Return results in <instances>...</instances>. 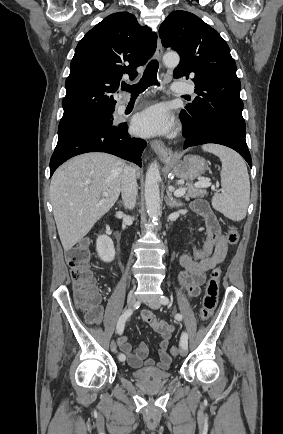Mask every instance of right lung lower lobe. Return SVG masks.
Masks as SVG:
<instances>
[{
	"label": "right lung lower lobe",
	"mask_w": 283,
	"mask_h": 434,
	"mask_svg": "<svg viewBox=\"0 0 283 434\" xmlns=\"http://www.w3.org/2000/svg\"><path fill=\"white\" fill-rule=\"evenodd\" d=\"M127 128L125 123L95 124L60 136L50 160V176L66 160L87 152L110 153L141 167V155L146 142L130 137Z\"/></svg>",
	"instance_id": "obj_1"
}]
</instances>
